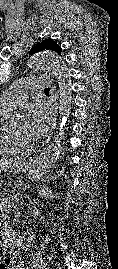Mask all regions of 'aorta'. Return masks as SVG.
<instances>
[{
	"label": "aorta",
	"instance_id": "aorta-1",
	"mask_svg": "<svg viewBox=\"0 0 118 269\" xmlns=\"http://www.w3.org/2000/svg\"><path fill=\"white\" fill-rule=\"evenodd\" d=\"M30 71H37L43 68H49L53 71L59 82L60 111L61 120L59 132L55 141L51 143L45 151L34 161L31 176L34 178L46 175L55 165L61 153V140L64 135L65 126L68 120L69 111L72 103V81L68 68L61 57L58 55L43 51L31 56L27 62ZM20 122L17 114L6 117L1 126L4 129H15Z\"/></svg>",
	"mask_w": 118,
	"mask_h": 269
}]
</instances>
